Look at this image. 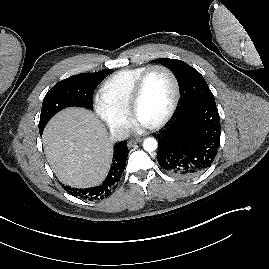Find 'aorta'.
I'll return each mask as SVG.
<instances>
[{"label":"aorta","instance_id":"1","mask_svg":"<svg viewBox=\"0 0 269 269\" xmlns=\"http://www.w3.org/2000/svg\"><path fill=\"white\" fill-rule=\"evenodd\" d=\"M158 147V142L155 138L153 137H148L145 138L143 141V148L147 152H153L157 149Z\"/></svg>","mask_w":269,"mask_h":269}]
</instances>
